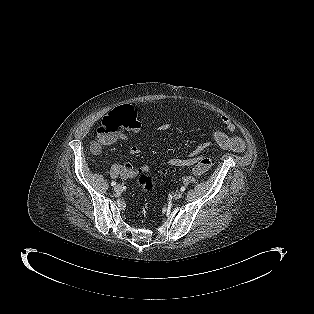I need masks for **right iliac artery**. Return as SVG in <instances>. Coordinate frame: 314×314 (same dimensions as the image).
<instances>
[{
    "mask_svg": "<svg viewBox=\"0 0 314 314\" xmlns=\"http://www.w3.org/2000/svg\"><path fill=\"white\" fill-rule=\"evenodd\" d=\"M111 185H112V186H115V185H116V182H115V181H112V182H111Z\"/></svg>",
    "mask_w": 314,
    "mask_h": 314,
    "instance_id": "obj_1",
    "label": "right iliac artery"
}]
</instances>
